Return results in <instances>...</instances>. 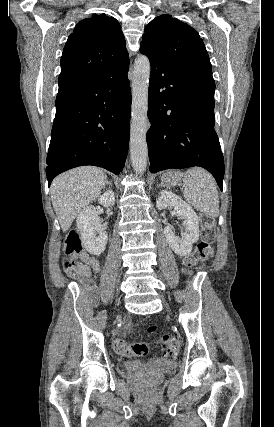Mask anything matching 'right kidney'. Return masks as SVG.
Instances as JSON below:
<instances>
[{
	"label": "right kidney",
	"mask_w": 274,
	"mask_h": 427,
	"mask_svg": "<svg viewBox=\"0 0 274 427\" xmlns=\"http://www.w3.org/2000/svg\"><path fill=\"white\" fill-rule=\"evenodd\" d=\"M104 208L114 206L115 196L112 190H107L98 200ZM82 245L92 255H99L105 249L107 243V231H104L98 212L93 206H87L81 210L76 219ZM98 233V235H96Z\"/></svg>",
	"instance_id": "obj_1"
}]
</instances>
